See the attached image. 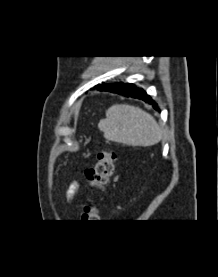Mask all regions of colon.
<instances>
[{
	"label": "colon",
	"instance_id": "5ec220e1",
	"mask_svg": "<svg viewBox=\"0 0 218 277\" xmlns=\"http://www.w3.org/2000/svg\"><path fill=\"white\" fill-rule=\"evenodd\" d=\"M116 159L117 155L114 151L97 149L94 165L85 170L86 180L92 191H101L107 186L113 174ZM97 218V204L89 200L83 207L82 220L93 222Z\"/></svg>",
	"mask_w": 218,
	"mask_h": 277
}]
</instances>
